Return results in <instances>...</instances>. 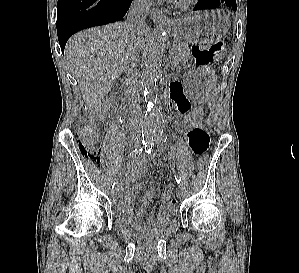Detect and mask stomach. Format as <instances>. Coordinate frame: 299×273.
I'll use <instances>...</instances> for the list:
<instances>
[{
  "label": "stomach",
  "mask_w": 299,
  "mask_h": 273,
  "mask_svg": "<svg viewBox=\"0 0 299 273\" xmlns=\"http://www.w3.org/2000/svg\"><path fill=\"white\" fill-rule=\"evenodd\" d=\"M230 27L229 17L221 10L201 11L171 21L168 30L178 41L192 44H204L225 35ZM215 69H196L187 72L185 85L191 96L188 101H203L211 87Z\"/></svg>",
  "instance_id": "obj_1"
}]
</instances>
